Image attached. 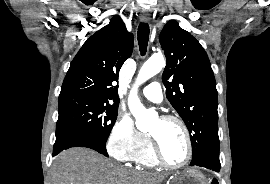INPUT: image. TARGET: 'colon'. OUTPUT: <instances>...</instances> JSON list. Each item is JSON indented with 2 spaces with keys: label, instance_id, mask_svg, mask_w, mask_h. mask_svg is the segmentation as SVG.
<instances>
[{
  "label": "colon",
  "instance_id": "colon-1",
  "mask_svg": "<svg viewBox=\"0 0 270 184\" xmlns=\"http://www.w3.org/2000/svg\"><path fill=\"white\" fill-rule=\"evenodd\" d=\"M210 184H218V181L216 179H211Z\"/></svg>",
  "mask_w": 270,
  "mask_h": 184
}]
</instances>
